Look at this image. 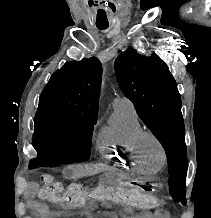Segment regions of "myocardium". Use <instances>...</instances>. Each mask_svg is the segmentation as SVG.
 I'll list each match as a JSON object with an SVG mask.
<instances>
[{"instance_id": "obj_1", "label": "myocardium", "mask_w": 211, "mask_h": 218, "mask_svg": "<svg viewBox=\"0 0 211 218\" xmlns=\"http://www.w3.org/2000/svg\"><path fill=\"white\" fill-rule=\"evenodd\" d=\"M145 138H151L158 146L159 151H160V164L158 165V167H161L166 160V154H165V150H164V146L162 144V142L160 141V139L157 137V135L155 133H153L152 131L149 130H140L138 131V133L135 136V146H136V154L139 156L140 158V163L145 165L147 164V162H145L142 158H141V153H140V147L142 145V142Z\"/></svg>"}]
</instances>
